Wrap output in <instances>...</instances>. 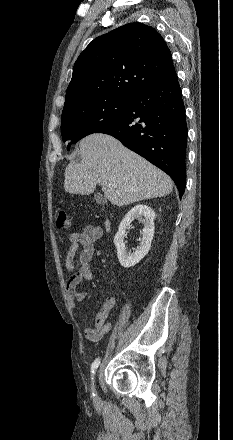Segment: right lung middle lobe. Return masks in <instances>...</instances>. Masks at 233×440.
Instances as JSON below:
<instances>
[{
  "label": "right lung middle lobe",
  "instance_id": "right-lung-middle-lobe-1",
  "mask_svg": "<svg viewBox=\"0 0 233 440\" xmlns=\"http://www.w3.org/2000/svg\"><path fill=\"white\" fill-rule=\"evenodd\" d=\"M129 99L91 98L64 107L61 119L63 141L70 145L83 137L97 133L100 129L119 118Z\"/></svg>",
  "mask_w": 233,
  "mask_h": 440
}]
</instances>
